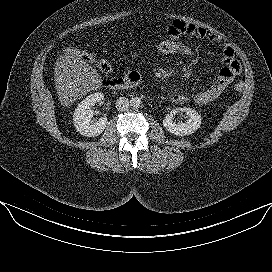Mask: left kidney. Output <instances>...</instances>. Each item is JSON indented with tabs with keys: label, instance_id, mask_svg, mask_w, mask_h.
I'll return each instance as SVG.
<instances>
[{
	"label": "left kidney",
	"instance_id": "obj_1",
	"mask_svg": "<svg viewBox=\"0 0 272 272\" xmlns=\"http://www.w3.org/2000/svg\"><path fill=\"white\" fill-rule=\"evenodd\" d=\"M178 112H185L188 119L186 122L174 121V115ZM201 116L192 108H177L172 110L163 120V126L167 131L176 136H187L193 134L200 128Z\"/></svg>",
	"mask_w": 272,
	"mask_h": 272
}]
</instances>
